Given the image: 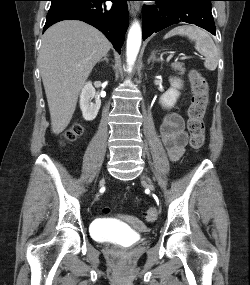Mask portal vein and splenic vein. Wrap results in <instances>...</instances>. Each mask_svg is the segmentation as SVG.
<instances>
[{
    "instance_id": "obj_1",
    "label": "portal vein and splenic vein",
    "mask_w": 250,
    "mask_h": 285,
    "mask_svg": "<svg viewBox=\"0 0 250 285\" xmlns=\"http://www.w3.org/2000/svg\"><path fill=\"white\" fill-rule=\"evenodd\" d=\"M186 58H189V57H182L181 59H186Z\"/></svg>"
}]
</instances>
